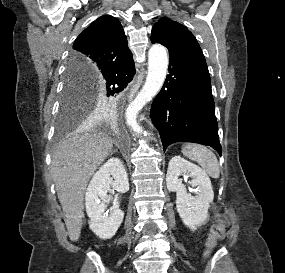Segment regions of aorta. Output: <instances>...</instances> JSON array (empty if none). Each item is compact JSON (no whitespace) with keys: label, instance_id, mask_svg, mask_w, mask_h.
<instances>
[{"label":"aorta","instance_id":"762f6f07","mask_svg":"<svg viewBox=\"0 0 285 273\" xmlns=\"http://www.w3.org/2000/svg\"><path fill=\"white\" fill-rule=\"evenodd\" d=\"M167 68L168 54L166 48L161 44L152 45L148 52V74L145 84L126 112L128 124L138 134L143 133V130L137 123V114L160 91L166 77Z\"/></svg>","mask_w":285,"mask_h":273}]
</instances>
